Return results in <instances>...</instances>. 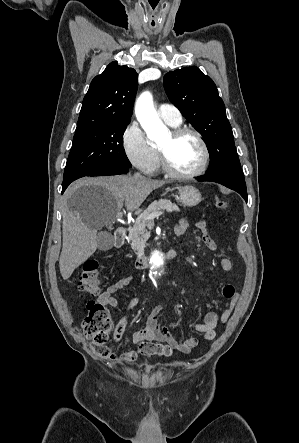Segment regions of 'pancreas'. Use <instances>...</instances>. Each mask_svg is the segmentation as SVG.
<instances>
[{
	"label": "pancreas",
	"mask_w": 299,
	"mask_h": 443,
	"mask_svg": "<svg viewBox=\"0 0 299 443\" xmlns=\"http://www.w3.org/2000/svg\"><path fill=\"white\" fill-rule=\"evenodd\" d=\"M160 210H166L168 212L180 211L178 206L167 199H160L154 201L150 206L145 209L136 219L134 225L129 228L128 240L131 241V247L136 254L144 252V247L147 241L146 226L152 222L147 217Z\"/></svg>",
	"instance_id": "pancreas-1"
}]
</instances>
